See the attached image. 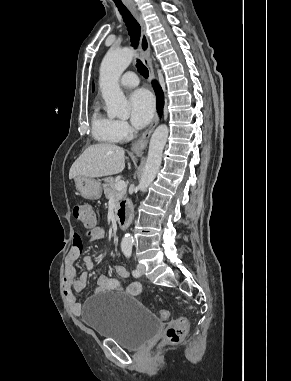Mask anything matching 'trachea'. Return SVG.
I'll return each mask as SVG.
<instances>
[{"mask_svg": "<svg viewBox=\"0 0 291 381\" xmlns=\"http://www.w3.org/2000/svg\"><path fill=\"white\" fill-rule=\"evenodd\" d=\"M116 7L118 8L120 14L122 15L124 22L129 31V35L131 38V43L134 48H136L139 44L141 27L136 19L133 17L131 12L127 9V7L122 2H117L114 0ZM137 69L138 72L144 77L148 78L149 71L147 67L138 59L137 60Z\"/></svg>", "mask_w": 291, "mask_h": 381, "instance_id": "3493384b", "label": "trachea"}]
</instances>
